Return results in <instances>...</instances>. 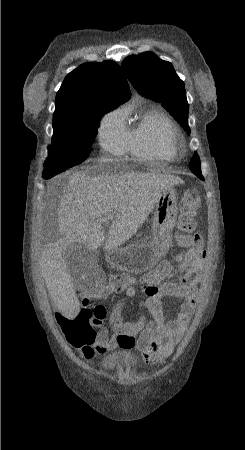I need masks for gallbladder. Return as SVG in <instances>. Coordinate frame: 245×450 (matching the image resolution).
Here are the masks:
<instances>
[{
    "mask_svg": "<svg viewBox=\"0 0 245 450\" xmlns=\"http://www.w3.org/2000/svg\"><path fill=\"white\" fill-rule=\"evenodd\" d=\"M65 260L69 274L73 278L75 286L78 287L81 274L97 265L98 253L89 251L79 243H73L66 249Z\"/></svg>",
    "mask_w": 245,
    "mask_h": 450,
    "instance_id": "bac80fb5",
    "label": "gallbladder"
}]
</instances>
